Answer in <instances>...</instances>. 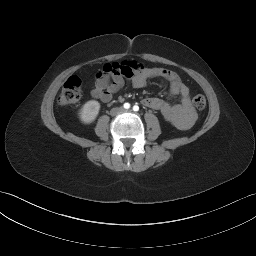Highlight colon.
<instances>
[{
	"label": "colon",
	"mask_w": 256,
	"mask_h": 256,
	"mask_svg": "<svg viewBox=\"0 0 256 256\" xmlns=\"http://www.w3.org/2000/svg\"><path fill=\"white\" fill-rule=\"evenodd\" d=\"M138 69V64H118L111 63L103 67V69L97 74V78H106L114 74L120 73L125 76H129L134 70ZM81 97V80L77 76L69 77L63 84L61 92L58 97V102L62 105L71 104L77 102ZM193 106L197 110H203L206 107V97L202 93H197L192 99Z\"/></svg>",
	"instance_id": "obj_1"
}]
</instances>
